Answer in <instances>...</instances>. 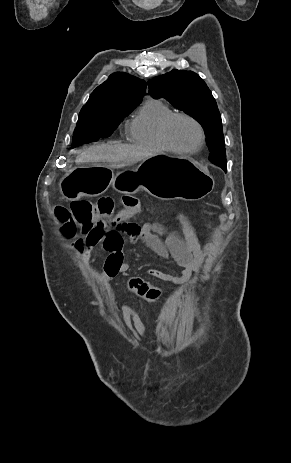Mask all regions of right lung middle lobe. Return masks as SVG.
<instances>
[{
    "instance_id": "obj_1",
    "label": "right lung middle lobe",
    "mask_w": 291,
    "mask_h": 463,
    "mask_svg": "<svg viewBox=\"0 0 291 463\" xmlns=\"http://www.w3.org/2000/svg\"><path fill=\"white\" fill-rule=\"evenodd\" d=\"M135 106L106 105L81 110L71 148L110 136L125 115L130 113Z\"/></svg>"
}]
</instances>
